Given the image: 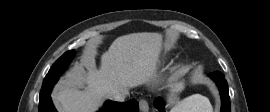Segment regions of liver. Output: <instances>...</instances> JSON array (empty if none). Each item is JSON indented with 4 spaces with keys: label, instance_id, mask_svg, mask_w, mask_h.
<instances>
[{
    "label": "liver",
    "instance_id": "obj_1",
    "mask_svg": "<svg viewBox=\"0 0 270 112\" xmlns=\"http://www.w3.org/2000/svg\"><path fill=\"white\" fill-rule=\"evenodd\" d=\"M159 33H131L116 38L101 55L98 69L95 52L83 59L53 93L61 112H94L115 92L151 83L162 49Z\"/></svg>",
    "mask_w": 270,
    "mask_h": 112
}]
</instances>
